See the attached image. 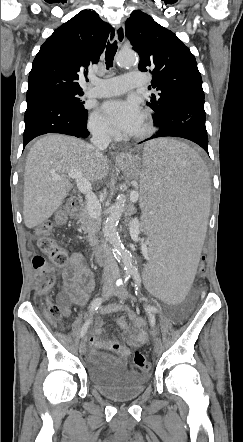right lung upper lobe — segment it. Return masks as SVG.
I'll return each mask as SVG.
<instances>
[{"instance_id":"cb5924a9","label":"right lung upper lobe","mask_w":243,"mask_h":442,"mask_svg":"<svg viewBox=\"0 0 243 442\" xmlns=\"http://www.w3.org/2000/svg\"><path fill=\"white\" fill-rule=\"evenodd\" d=\"M114 30L97 13L83 10L44 42L29 74L27 94L64 90L82 91L78 81L99 61Z\"/></svg>"}]
</instances>
